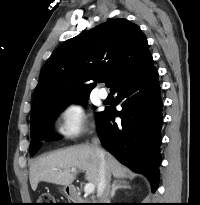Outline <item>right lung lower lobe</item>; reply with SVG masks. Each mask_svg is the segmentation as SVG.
<instances>
[{"label":"right lung lower lobe","instance_id":"right-lung-lower-lobe-1","mask_svg":"<svg viewBox=\"0 0 200 205\" xmlns=\"http://www.w3.org/2000/svg\"><path fill=\"white\" fill-rule=\"evenodd\" d=\"M112 92L117 93L123 109L107 107L100 115L97 132L101 143L121 163L144 174L154 192L158 187L163 104L153 60ZM116 116L121 118V124L115 122Z\"/></svg>","mask_w":200,"mask_h":205}]
</instances>
